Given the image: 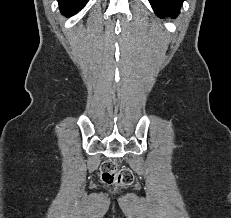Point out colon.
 <instances>
[{"label": "colon", "mask_w": 231, "mask_h": 218, "mask_svg": "<svg viewBox=\"0 0 231 218\" xmlns=\"http://www.w3.org/2000/svg\"><path fill=\"white\" fill-rule=\"evenodd\" d=\"M101 178L108 185L128 186L134 181V175L128 168H118L114 160H106L100 167Z\"/></svg>", "instance_id": "obj_1"}]
</instances>
